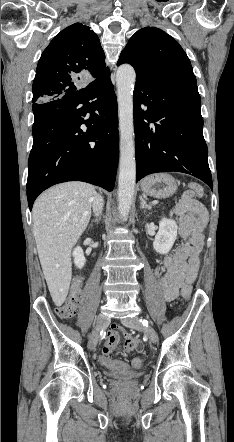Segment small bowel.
Wrapping results in <instances>:
<instances>
[{
  "mask_svg": "<svg viewBox=\"0 0 234 442\" xmlns=\"http://www.w3.org/2000/svg\"><path fill=\"white\" fill-rule=\"evenodd\" d=\"M175 213L179 219L180 235L187 240V243L164 258L165 273L162 274L159 269L155 271L164 298L168 302L177 297L180 288L184 284L194 282L197 277L200 266L199 252L203 245V232L208 221L206 208L193 197L192 192L183 194L175 206ZM120 337V330L116 325H112L102 351L106 349L113 351ZM125 347L127 352L136 350L138 355H143L146 350L138 336L134 338L126 336Z\"/></svg>",
  "mask_w": 234,
  "mask_h": 442,
  "instance_id": "small-bowel-1",
  "label": "small bowel"
}]
</instances>
